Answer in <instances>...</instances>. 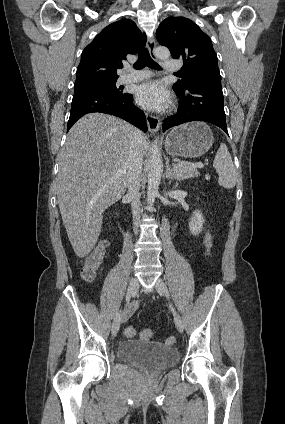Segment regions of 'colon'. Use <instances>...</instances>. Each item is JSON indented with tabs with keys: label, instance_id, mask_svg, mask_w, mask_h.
I'll use <instances>...</instances> for the list:
<instances>
[{
	"label": "colon",
	"instance_id": "5ec220e1",
	"mask_svg": "<svg viewBox=\"0 0 285 424\" xmlns=\"http://www.w3.org/2000/svg\"><path fill=\"white\" fill-rule=\"evenodd\" d=\"M213 244V238L210 231H207L204 237V245L206 248V255L211 256V248ZM108 249V242L106 240L100 241L97 246L84 258L82 262L81 276L85 281H92L98 270L101 268ZM135 329L133 327H128L125 330V335L127 337H133L135 335ZM140 337L144 340H149L152 337V331L149 329L142 330L140 332ZM174 337L167 338L166 342L168 344L175 343Z\"/></svg>",
	"mask_w": 285,
	"mask_h": 424
}]
</instances>
